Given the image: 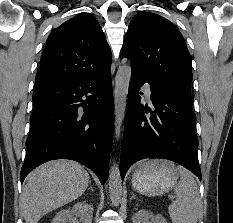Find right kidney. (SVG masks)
<instances>
[{
	"instance_id": "1",
	"label": "right kidney",
	"mask_w": 233,
	"mask_h": 223,
	"mask_svg": "<svg viewBox=\"0 0 233 223\" xmlns=\"http://www.w3.org/2000/svg\"><path fill=\"white\" fill-rule=\"evenodd\" d=\"M94 209L90 203L86 201H78L73 205L72 209H62L58 211L55 217H53L52 223H67L70 219H73L74 215L80 217L82 223H92Z\"/></svg>"
}]
</instances>
